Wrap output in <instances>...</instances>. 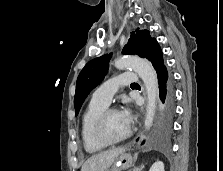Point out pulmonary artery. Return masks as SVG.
Segmentation results:
<instances>
[{
    "label": "pulmonary artery",
    "mask_w": 223,
    "mask_h": 171,
    "mask_svg": "<svg viewBox=\"0 0 223 171\" xmlns=\"http://www.w3.org/2000/svg\"><path fill=\"white\" fill-rule=\"evenodd\" d=\"M138 76L134 72H125L113 77L100 85L93 93L92 99L104 105H109L113 96L122 86L137 82Z\"/></svg>",
    "instance_id": "pulmonary-artery-1"
}]
</instances>
